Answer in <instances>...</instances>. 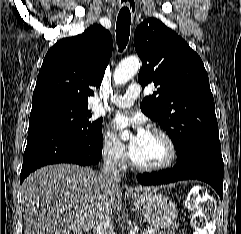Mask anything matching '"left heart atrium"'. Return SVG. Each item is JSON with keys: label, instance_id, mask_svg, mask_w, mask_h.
Listing matches in <instances>:
<instances>
[{"label": "left heart atrium", "instance_id": "39dd6f15", "mask_svg": "<svg viewBox=\"0 0 241 234\" xmlns=\"http://www.w3.org/2000/svg\"><path fill=\"white\" fill-rule=\"evenodd\" d=\"M113 126L118 131H123L127 128H131L133 130L131 146L147 133L143 126L142 119L138 116H129L124 114L116 115L113 119Z\"/></svg>", "mask_w": 241, "mask_h": 234}]
</instances>
